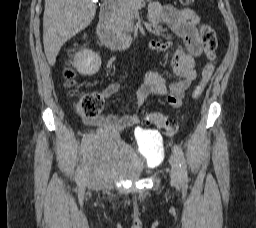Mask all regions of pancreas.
<instances>
[{
    "label": "pancreas",
    "instance_id": "1",
    "mask_svg": "<svg viewBox=\"0 0 256 228\" xmlns=\"http://www.w3.org/2000/svg\"><path fill=\"white\" fill-rule=\"evenodd\" d=\"M137 8L132 0H123L116 6L112 16V27L119 34L133 31L134 12Z\"/></svg>",
    "mask_w": 256,
    "mask_h": 228
}]
</instances>
